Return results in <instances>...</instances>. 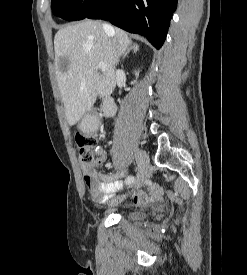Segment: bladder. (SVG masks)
<instances>
[{
  "mask_svg": "<svg viewBox=\"0 0 247 275\" xmlns=\"http://www.w3.org/2000/svg\"><path fill=\"white\" fill-rule=\"evenodd\" d=\"M148 215L143 211H134L126 217L130 222H143L147 219Z\"/></svg>",
  "mask_w": 247,
  "mask_h": 275,
  "instance_id": "1",
  "label": "bladder"
}]
</instances>
